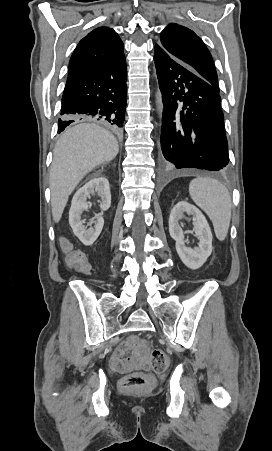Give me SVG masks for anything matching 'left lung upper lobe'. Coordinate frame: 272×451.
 Returning a JSON list of instances; mask_svg holds the SVG:
<instances>
[{"label": "left lung upper lobe", "mask_w": 272, "mask_h": 451, "mask_svg": "<svg viewBox=\"0 0 272 451\" xmlns=\"http://www.w3.org/2000/svg\"><path fill=\"white\" fill-rule=\"evenodd\" d=\"M159 44L219 91L217 72L211 54L192 30L171 23L161 32Z\"/></svg>", "instance_id": "1"}]
</instances>
